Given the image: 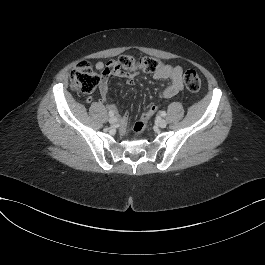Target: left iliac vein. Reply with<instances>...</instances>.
<instances>
[{"label":"left iliac vein","instance_id":"1","mask_svg":"<svg viewBox=\"0 0 265 265\" xmlns=\"http://www.w3.org/2000/svg\"><path fill=\"white\" fill-rule=\"evenodd\" d=\"M157 125H158L160 128H165L166 125H167V122H166L164 119H159L158 122H157Z\"/></svg>","mask_w":265,"mask_h":265}]
</instances>
